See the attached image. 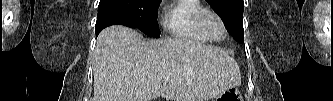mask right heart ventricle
<instances>
[{
  "mask_svg": "<svg viewBox=\"0 0 333 101\" xmlns=\"http://www.w3.org/2000/svg\"><path fill=\"white\" fill-rule=\"evenodd\" d=\"M197 0H178L169 7L165 27L171 36L198 43L209 42L197 25V15L203 9Z\"/></svg>",
  "mask_w": 333,
  "mask_h": 101,
  "instance_id": "e07e8e85",
  "label": "right heart ventricle"
}]
</instances>
